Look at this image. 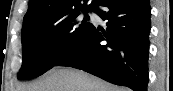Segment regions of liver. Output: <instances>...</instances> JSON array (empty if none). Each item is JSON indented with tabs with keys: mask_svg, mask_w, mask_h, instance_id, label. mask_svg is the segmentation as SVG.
<instances>
[{
	"mask_svg": "<svg viewBox=\"0 0 173 91\" xmlns=\"http://www.w3.org/2000/svg\"><path fill=\"white\" fill-rule=\"evenodd\" d=\"M18 91H129L113 86L82 70L56 67Z\"/></svg>",
	"mask_w": 173,
	"mask_h": 91,
	"instance_id": "1",
	"label": "liver"
}]
</instances>
